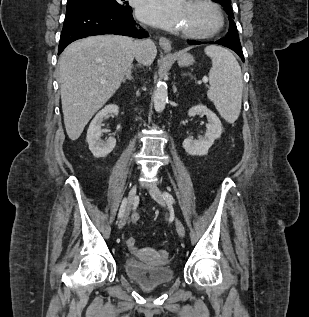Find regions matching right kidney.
Returning <instances> with one entry per match:
<instances>
[{
    "label": "right kidney",
    "mask_w": 309,
    "mask_h": 317,
    "mask_svg": "<svg viewBox=\"0 0 309 317\" xmlns=\"http://www.w3.org/2000/svg\"><path fill=\"white\" fill-rule=\"evenodd\" d=\"M118 113L119 107L117 105H107L91 121L87 131V142L94 157H105L115 148L116 139L114 137H109L106 141L101 139V126L105 117L110 114L118 115Z\"/></svg>",
    "instance_id": "1"
}]
</instances>
